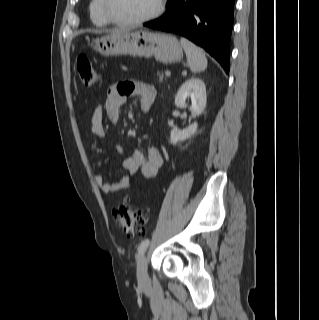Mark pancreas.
Wrapping results in <instances>:
<instances>
[{
	"mask_svg": "<svg viewBox=\"0 0 319 320\" xmlns=\"http://www.w3.org/2000/svg\"><path fill=\"white\" fill-rule=\"evenodd\" d=\"M158 77H159V81H160V82H163V80H164V75H163L162 72H159V73H158Z\"/></svg>",
	"mask_w": 319,
	"mask_h": 320,
	"instance_id": "obj_1",
	"label": "pancreas"
}]
</instances>
